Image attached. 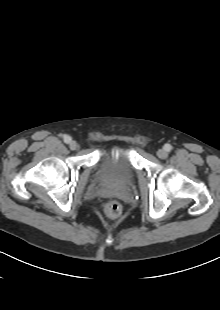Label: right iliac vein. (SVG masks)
<instances>
[{
    "instance_id": "right-iliac-vein-1",
    "label": "right iliac vein",
    "mask_w": 220,
    "mask_h": 310,
    "mask_svg": "<svg viewBox=\"0 0 220 310\" xmlns=\"http://www.w3.org/2000/svg\"><path fill=\"white\" fill-rule=\"evenodd\" d=\"M69 147L71 150H76L78 148V143L76 141H71Z\"/></svg>"
}]
</instances>
